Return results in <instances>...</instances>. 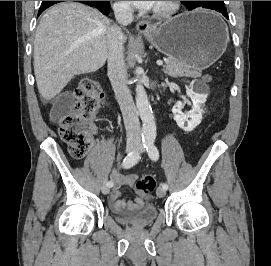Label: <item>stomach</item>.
Returning <instances> with one entry per match:
<instances>
[{"label": "stomach", "mask_w": 271, "mask_h": 266, "mask_svg": "<svg viewBox=\"0 0 271 266\" xmlns=\"http://www.w3.org/2000/svg\"><path fill=\"white\" fill-rule=\"evenodd\" d=\"M144 36L161 53L203 70L216 62L227 48L229 33L220 16L197 10L154 27Z\"/></svg>", "instance_id": "stomach-1"}]
</instances>
